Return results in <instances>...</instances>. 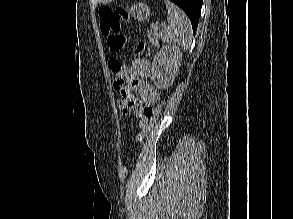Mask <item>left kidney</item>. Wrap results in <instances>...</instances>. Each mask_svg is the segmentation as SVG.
<instances>
[{
	"instance_id": "1",
	"label": "left kidney",
	"mask_w": 293,
	"mask_h": 219,
	"mask_svg": "<svg viewBox=\"0 0 293 219\" xmlns=\"http://www.w3.org/2000/svg\"><path fill=\"white\" fill-rule=\"evenodd\" d=\"M182 52L179 47L164 45L153 58L152 62V80L154 85L160 89L170 87L181 65Z\"/></svg>"
}]
</instances>
